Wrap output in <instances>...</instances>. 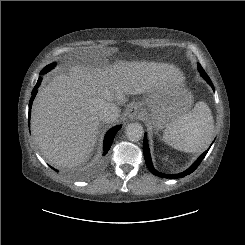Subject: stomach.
I'll use <instances>...</instances> for the list:
<instances>
[{
	"mask_svg": "<svg viewBox=\"0 0 245 245\" xmlns=\"http://www.w3.org/2000/svg\"><path fill=\"white\" fill-rule=\"evenodd\" d=\"M192 103L193 95L182 80H166L152 89L145 101L149 118L157 130L167 128L189 114Z\"/></svg>",
	"mask_w": 245,
	"mask_h": 245,
	"instance_id": "0dacf381",
	"label": "stomach"
}]
</instances>
